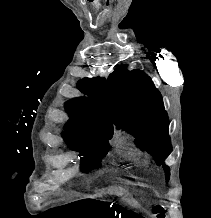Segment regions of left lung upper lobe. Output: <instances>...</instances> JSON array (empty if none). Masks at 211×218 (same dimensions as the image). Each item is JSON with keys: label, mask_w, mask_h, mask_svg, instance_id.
Returning a JSON list of instances; mask_svg holds the SVG:
<instances>
[{"label": "left lung upper lobe", "mask_w": 211, "mask_h": 218, "mask_svg": "<svg viewBox=\"0 0 211 218\" xmlns=\"http://www.w3.org/2000/svg\"><path fill=\"white\" fill-rule=\"evenodd\" d=\"M109 113L118 129L135 136L141 150L161 165L172 150L168 136L169 120L162 96L143 71L118 68L108 78ZM165 177L170 169L163 164Z\"/></svg>", "instance_id": "obj_1"}]
</instances>
